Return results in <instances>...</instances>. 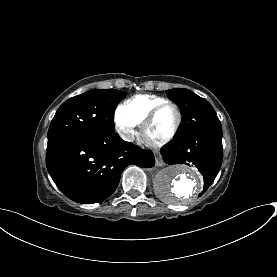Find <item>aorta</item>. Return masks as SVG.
Returning <instances> with one entry per match:
<instances>
[{"label":"aorta","mask_w":277,"mask_h":277,"mask_svg":"<svg viewBox=\"0 0 277 277\" xmlns=\"http://www.w3.org/2000/svg\"><path fill=\"white\" fill-rule=\"evenodd\" d=\"M159 197L170 204L195 198L203 189L201 175L194 168L173 165L162 169L154 181Z\"/></svg>","instance_id":"aorta-1"}]
</instances>
